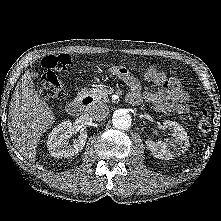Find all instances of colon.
Here are the masks:
<instances>
[{
  "instance_id": "obj_1",
  "label": "colon",
  "mask_w": 221,
  "mask_h": 221,
  "mask_svg": "<svg viewBox=\"0 0 221 221\" xmlns=\"http://www.w3.org/2000/svg\"><path fill=\"white\" fill-rule=\"evenodd\" d=\"M71 56L68 54L47 55L42 60V66L46 72L40 79L39 91L42 97L49 100L62 99L66 94L65 85L57 78L56 72L66 70L71 64ZM150 78L161 79L154 67V62H151V67L147 72ZM212 123L210 113L207 109H202L199 113L198 128L202 133L211 131Z\"/></svg>"
}]
</instances>
